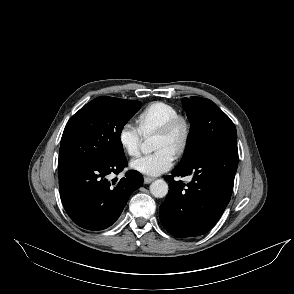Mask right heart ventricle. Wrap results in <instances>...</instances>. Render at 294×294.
<instances>
[{
  "instance_id": "obj_1",
  "label": "right heart ventricle",
  "mask_w": 294,
  "mask_h": 294,
  "mask_svg": "<svg viewBox=\"0 0 294 294\" xmlns=\"http://www.w3.org/2000/svg\"><path fill=\"white\" fill-rule=\"evenodd\" d=\"M179 116V111L172 105L156 101L148 104L137 116L138 127L142 134L156 132L169 120Z\"/></svg>"
}]
</instances>
